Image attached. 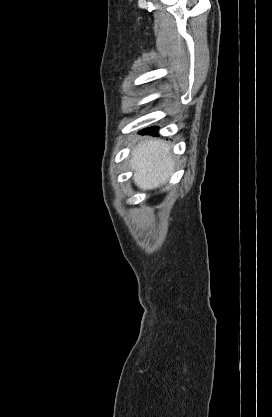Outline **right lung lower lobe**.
I'll return each mask as SVG.
<instances>
[{"instance_id": "1", "label": "right lung lower lobe", "mask_w": 272, "mask_h": 417, "mask_svg": "<svg viewBox=\"0 0 272 417\" xmlns=\"http://www.w3.org/2000/svg\"><path fill=\"white\" fill-rule=\"evenodd\" d=\"M155 129H157V127H151V128H148V129H145V130H142V132L141 133H150V134H155Z\"/></svg>"}]
</instances>
